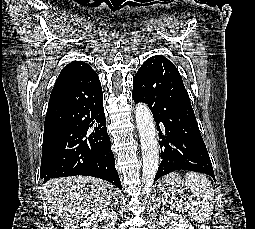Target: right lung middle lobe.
<instances>
[{
	"instance_id": "1",
	"label": "right lung middle lobe",
	"mask_w": 255,
	"mask_h": 229,
	"mask_svg": "<svg viewBox=\"0 0 255 229\" xmlns=\"http://www.w3.org/2000/svg\"><path fill=\"white\" fill-rule=\"evenodd\" d=\"M58 134V129L44 130L41 162H43L49 156V153L58 137Z\"/></svg>"
}]
</instances>
